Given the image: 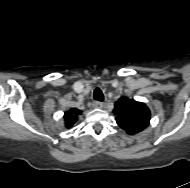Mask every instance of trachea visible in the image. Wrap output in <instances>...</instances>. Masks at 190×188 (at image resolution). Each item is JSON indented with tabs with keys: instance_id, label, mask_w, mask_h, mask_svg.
<instances>
[{
	"instance_id": "trachea-1",
	"label": "trachea",
	"mask_w": 190,
	"mask_h": 188,
	"mask_svg": "<svg viewBox=\"0 0 190 188\" xmlns=\"http://www.w3.org/2000/svg\"><path fill=\"white\" fill-rule=\"evenodd\" d=\"M93 98L97 101H103L104 100V96H103V93H102L100 88H96L94 90Z\"/></svg>"
}]
</instances>
